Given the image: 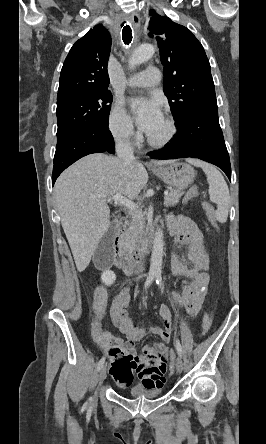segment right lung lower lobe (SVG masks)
Listing matches in <instances>:
<instances>
[{
    "label": "right lung lower lobe",
    "instance_id": "1",
    "mask_svg": "<svg viewBox=\"0 0 266 444\" xmlns=\"http://www.w3.org/2000/svg\"><path fill=\"white\" fill-rule=\"evenodd\" d=\"M115 153L114 140L108 128H96L75 135L56 147L52 186L57 177L72 163L92 153Z\"/></svg>",
    "mask_w": 266,
    "mask_h": 444
}]
</instances>
